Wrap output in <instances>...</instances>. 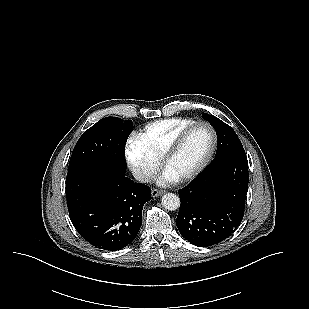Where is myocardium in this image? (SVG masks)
I'll return each instance as SVG.
<instances>
[{"label": "myocardium", "mask_w": 309, "mask_h": 309, "mask_svg": "<svg viewBox=\"0 0 309 309\" xmlns=\"http://www.w3.org/2000/svg\"><path fill=\"white\" fill-rule=\"evenodd\" d=\"M199 126L207 127L211 133L212 141L211 146L206 154V156L203 158V160L190 172L180 176L177 178L178 182H187L194 178H196L209 164L211 161L215 150L217 146V133L213 126L205 121H195L191 125L187 126L185 129H183L179 135L172 141V143L167 148L166 152L164 153L162 157V166L163 168H166L170 160L177 154V152L181 149L183 144L185 143L186 139L188 138L191 131Z\"/></svg>", "instance_id": "myocardium-1"}]
</instances>
